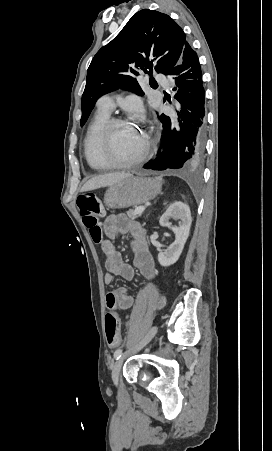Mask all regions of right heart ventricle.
<instances>
[{"mask_svg":"<svg viewBox=\"0 0 272 451\" xmlns=\"http://www.w3.org/2000/svg\"><path fill=\"white\" fill-rule=\"evenodd\" d=\"M109 112L110 111L98 108L96 116L87 132L85 140V156L88 165L94 171H102L105 169V165L101 157L98 136L104 123L109 119Z\"/></svg>","mask_w":272,"mask_h":451,"instance_id":"e07e8e85","label":"right heart ventricle"}]
</instances>
